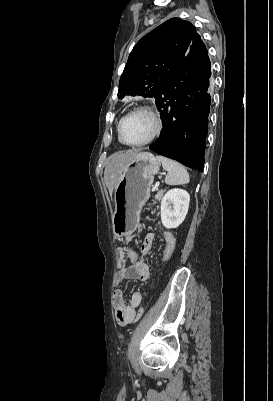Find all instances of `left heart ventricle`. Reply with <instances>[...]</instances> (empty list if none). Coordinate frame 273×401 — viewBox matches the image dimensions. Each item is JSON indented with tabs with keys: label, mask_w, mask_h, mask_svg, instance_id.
Instances as JSON below:
<instances>
[{
	"label": "left heart ventricle",
	"mask_w": 273,
	"mask_h": 401,
	"mask_svg": "<svg viewBox=\"0 0 273 401\" xmlns=\"http://www.w3.org/2000/svg\"><path fill=\"white\" fill-rule=\"evenodd\" d=\"M154 129L155 122L149 115L134 114L122 125V138L129 143H137L148 138Z\"/></svg>",
	"instance_id": "left-heart-ventricle-1"
}]
</instances>
